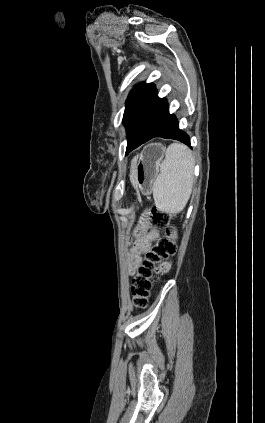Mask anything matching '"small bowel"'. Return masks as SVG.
<instances>
[{"mask_svg":"<svg viewBox=\"0 0 265 423\" xmlns=\"http://www.w3.org/2000/svg\"><path fill=\"white\" fill-rule=\"evenodd\" d=\"M159 237L157 230H149L142 236L136 238L135 244L132 247L127 257V268L130 275H134L139 263L142 260L148 247ZM171 268V263H163L159 267V272H167Z\"/></svg>","mask_w":265,"mask_h":423,"instance_id":"1","label":"small bowel"}]
</instances>
